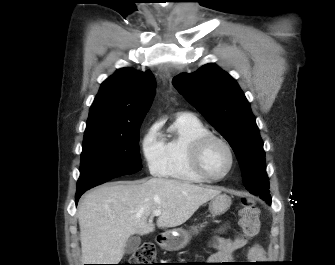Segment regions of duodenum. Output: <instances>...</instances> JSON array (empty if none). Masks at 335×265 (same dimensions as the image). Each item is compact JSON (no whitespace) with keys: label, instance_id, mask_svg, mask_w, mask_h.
Instances as JSON below:
<instances>
[{"label":"duodenum","instance_id":"1","mask_svg":"<svg viewBox=\"0 0 335 265\" xmlns=\"http://www.w3.org/2000/svg\"><path fill=\"white\" fill-rule=\"evenodd\" d=\"M165 241H166V236L165 235L159 234L157 236V242H158V244L163 245L165 243Z\"/></svg>","mask_w":335,"mask_h":265}]
</instances>
